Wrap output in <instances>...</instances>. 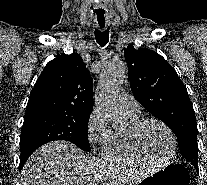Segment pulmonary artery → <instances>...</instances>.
<instances>
[{
	"instance_id": "e3ab8cb5",
	"label": "pulmonary artery",
	"mask_w": 207,
	"mask_h": 185,
	"mask_svg": "<svg viewBox=\"0 0 207 185\" xmlns=\"http://www.w3.org/2000/svg\"><path fill=\"white\" fill-rule=\"evenodd\" d=\"M119 102L122 108L130 114H138L140 106L134 97L127 93H121L119 95Z\"/></svg>"
}]
</instances>
